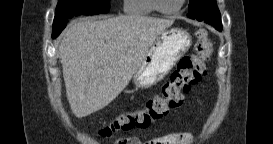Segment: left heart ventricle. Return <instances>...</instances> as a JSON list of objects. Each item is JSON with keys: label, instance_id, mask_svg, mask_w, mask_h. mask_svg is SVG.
<instances>
[{"label": "left heart ventricle", "instance_id": "obj_1", "mask_svg": "<svg viewBox=\"0 0 273 144\" xmlns=\"http://www.w3.org/2000/svg\"><path fill=\"white\" fill-rule=\"evenodd\" d=\"M180 0H161V6L163 9H174L178 6Z\"/></svg>", "mask_w": 273, "mask_h": 144}]
</instances>
